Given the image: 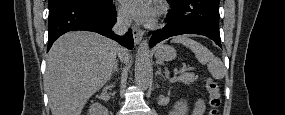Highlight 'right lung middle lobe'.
Here are the masks:
<instances>
[{
  "label": "right lung middle lobe",
  "instance_id": "obj_1",
  "mask_svg": "<svg viewBox=\"0 0 285 115\" xmlns=\"http://www.w3.org/2000/svg\"><path fill=\"white\" fill-rule=\"evenodd\" d=\"M63 1H65V0H48L49 7H52L55 4H58V3L63 2ZM82 1L92 3V4H98V5L107 2V0H82Z\"/></svg>",
  "mask_w": 285,
  "mask_h": 115
}]
</instances>
